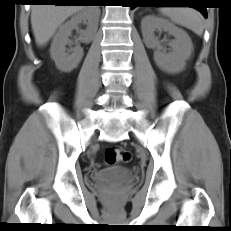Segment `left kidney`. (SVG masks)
Here are the masks:
<instances>
[{"instance_id": "1", "label": "left kidney", "mask_w": 231, "mask_h": 231, "mask_svg": "<svg viewBox=\"0 0 231 231\" xmlns=\"http://www.w3.org/2000/svg\"><path fill=\"white\" fill-rule=\"evenodd\" d=\"M141 30L145 45L155 50L154 60L162 70L168 73H179L185 68L186 60L192 53L193 44L183 29L166 19L148 15L142 19ZM156 30L166 31L175 37L169 42L172 52L166 54L161 51V44L154 34Z\"/></svg>"}]
</instances>
